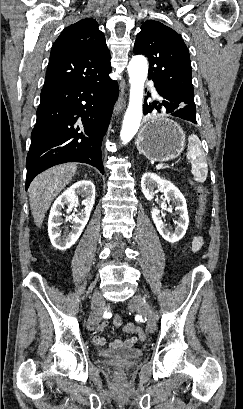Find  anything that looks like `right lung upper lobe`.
I'll return each instance as SVG.
<instances>
[{
    "label": "right lung upper lobe",
    "instance_id": "right-lung-upper-lobe-1",
    "mask_svg": "<svg viewBox=\"0 0 243 409\" xmlns=\"http://www.w3.org/2000/svg\"><path fill=\"white\" fill-rule=\"evenodd\" d=\"M109 71L105 36L94 19H83L65 28L53 44L43 88L96 80Z\"/></svg>",
    "mask_w": 243,
    "mask_h": 409
}]
</instances>
